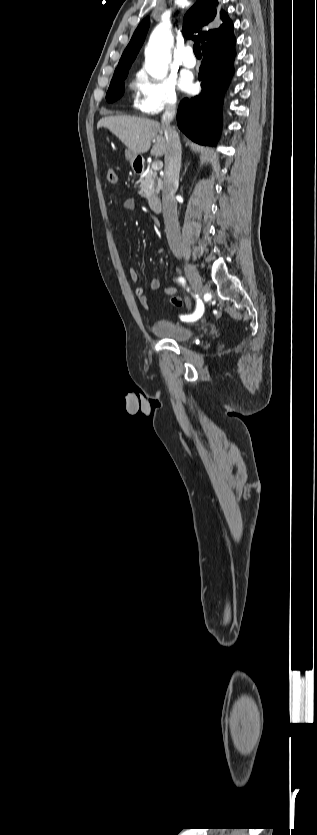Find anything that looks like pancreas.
<instances>
[{"mask_svg":"<svg viewBox=\"0 0 317 835\" xmlns=\"http://www.w3.org/2000/svg\"><path fill=\"white\" fill-rule=\"evenodd\" d=\"M140 195L146 198L151 204L158 199V194L162 189V180L157 177L155 171H149L143 178L140 179Z\"/></svg>","mask_w":317,"mask_h":835,"instance_id":"cf45deb5","label":"pancreas"}]
</instances>
